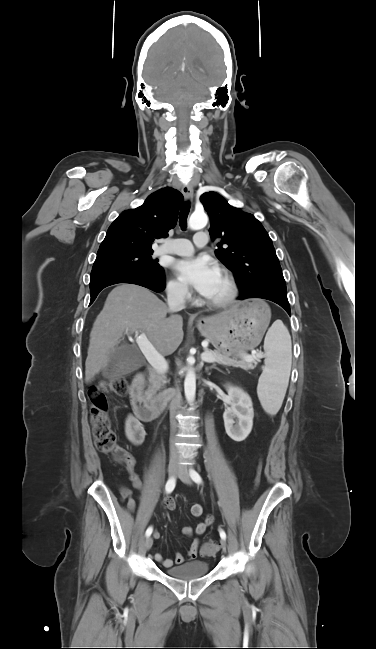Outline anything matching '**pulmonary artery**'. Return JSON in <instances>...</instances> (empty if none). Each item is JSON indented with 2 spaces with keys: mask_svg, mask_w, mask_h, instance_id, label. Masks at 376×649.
Masks as SVG:
<instances>
[{
  "mask_svg": "<svg viewBox=\"0 0 376 649\" xmlns=\"http://www.w3.org/2000/svg\"><path fill=\"white\" fill-rule=\"evenodd\" d=\"M196 247H204L208 243V235L206 232H198L193 239ZM194 245L187 239L177 238L164 243L156 249L157 254H175V255H190L194 251Z\"/></svg>",
  "mask_w": 376,
  "mask_h": 649,
  "instance_id": "pulmonary-artery-1",
  "label": "pulmonary artery"
}]
</instances>
